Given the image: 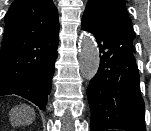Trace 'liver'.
I'll use <instances>...</instances> for the list:
<instances>
[{"instance_id": "1", "label": "liver", "mask_w": 151, "mask_h": 131, "mask_svg": "<svg viewBox=\"0 0 151 131\" xmlns=\"http://www.w3.org/2000/svg\"><path fill=\"white\" fill-rule=\"evenodd\" d=\"M26 114H27V122L26 123H31L35 117L34 110L31 108H28Z\"/></svg>"}]
</instances>
